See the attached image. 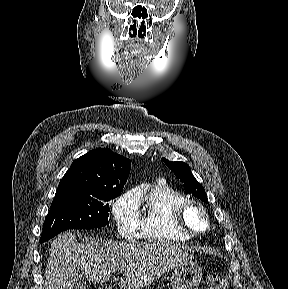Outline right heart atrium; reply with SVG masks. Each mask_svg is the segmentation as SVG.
Masks as SVG:
<instances>
[{
    "label": "right heart atrium",
    "mask_w": 288,
    "mask_h": 289,
    "mask_svg": "<svg viewBox=\"0 0 288 289\" xmlns=\"http://www.w3.org/2000/svg\"><path fill=\"white\" fill-rule=\"evenodd\" d=\"M112 214L118 233L125 238H134L139 233V220L134 196L124 193L114 202Z\"/></svg>",
    "instance_id": "right-heart-atrium-1"
}]
</instances>
